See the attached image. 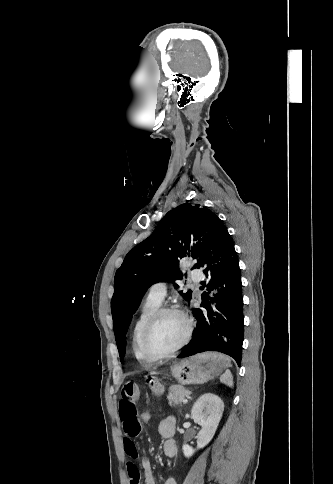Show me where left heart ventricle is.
Instances as JSON below:
<instances>
[{"label":"left heart ventricle","mask_w":333,"mask_h":484,"mask_svg":"<svg viewBox=\"0 0 333 484\" xmlns=\"http://www.w3.org/2000/svg\"><path fill=\"white\" fill-rule=\"evenodd\" d=\"M186 324L177 314H166L154 326L149 348L154 354H165L173 350L184 338Z\"/></svg>","instance_id":"obj_1"}]
</instances>
